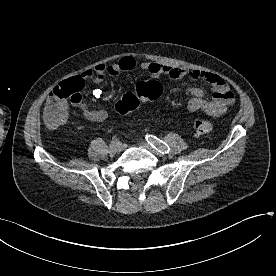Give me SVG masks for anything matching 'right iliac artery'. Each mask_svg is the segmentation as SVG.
Segmentation results:
<instances>
[{
    "label": "right iliac artery",
    "mask_w": 276,
    "mask_h": 276,
    "mask_svg": "<svg viewBox=\"0 0 276 276\" xmlns=\"http://www.w3.org/2000/svg\"><path fill=\"white\" fill-rule=\"evenodd\" d=\"M122 145L121 142L118 139H112V141L110 142V146H120Z\"/></svg>",
    "instance_id": "obj_1"
}]
</instances>
